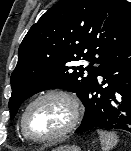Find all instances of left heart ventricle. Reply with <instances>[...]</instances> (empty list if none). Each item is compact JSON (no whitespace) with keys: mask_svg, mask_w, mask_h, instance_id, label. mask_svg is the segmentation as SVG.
<instances>
[{"mask_svg":"<svg viewBox=\"0 0 131 151\" xmlns=\"http://www.w3.org/2000/svg\"><path fill=\"white\" fill-rule=\"evenodd\" d=\"M68 119L67 105L60 99L49 98L38 102L30 109L26 118V128L34 137H47L60 131Z\"/></svg>","mask_w":131,"mask_h":151,"instance_id":"left-heart-ventricle-1","label":"left heart ventricle"}]
</instances>
